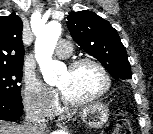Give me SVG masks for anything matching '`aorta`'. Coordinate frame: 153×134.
<instances>
[{
    "label": "aorta",
    "instance_id": "aorta-1",
    "mask_svg": "<svg viewBox=\"0 0 153 134\" xmlns=\"http://www.w3.org/2000/svg\"><path fill=\"white\" fill-rule=\"evenodd\" d=\"M60 35L61 25L58 22L48 23L36 34L35 56L47 84L57 82V74L61 69V64L52 59Z\"/></svg>",
    "mask_w": 153,
    "mask_h": 134
}]
</instances>
